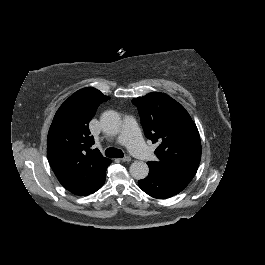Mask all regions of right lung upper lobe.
<instances>
[{"label": "right lung upper lobe", "mask_w": 265, "mask_h": 265, "mask_svg": "<svg viewBox=\"0 0 265 265\" xmlns=\"http://www.w3.org/2000/svg\"><path fill=\"white\" fill-rule=\"evenodd\" d=\"M110 97L88 87L71 95L57 110L47 138L49 164L61 185L75 195L86 196L105 182L111 160L94 144L88 124L98 106Z\"/></svg>", "instance_id": "right-lung-upper-lobe-1"}]
</instances>
